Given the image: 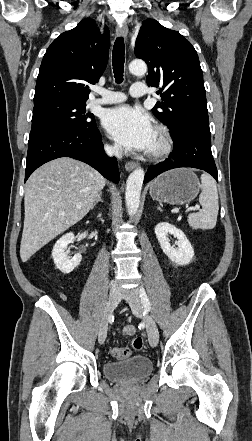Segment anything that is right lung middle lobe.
Here are the masks:
<instances>
[{"label": "right lung middle lobe", "mask_w": 252, "mask_h": 441, "mask_svg": "<svg viewBox=\"0 0 252 441\" xmlns=\"http://www.w3.org/2000/svg\"><path fill=\"white\" fill-rule=\"evenodd\" d=\"M86 101L48 100L34 104L32 129L41 127L86 128L95 123L86 113Z\"/></svg>", "instance_id": "dd1d6c3e"}]
</instances>
